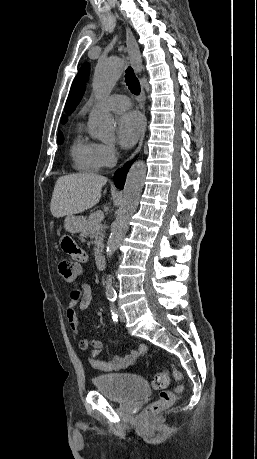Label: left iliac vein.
I'll return each instance as SVG.
<instances>
[{
	"mask_svg": "<svg viewBox=\"0 0 257 459\" xmlns=\"http://www.w3.org/2000/svg\"><path fill=\"white\" fill-rule=\"evenodd\" d=\"M118 311H119L120 321L121 322H125L126 321V317H125V314H124L123 310L122 309H118Z\"/></svg>",
	"mask_w": 257,
	"mask_h": 459,
	"instance_id": "left-iliac-vein-1",
	"label": "left iliac vein"
}]
</instances>
